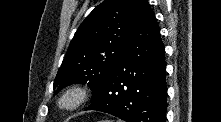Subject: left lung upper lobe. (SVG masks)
<instances>
[{"instance_id":"1","label":"left lung upper lobe","mask_w":221,"mask_h":122,"mask_svg":"<svg viewBox=\"0 0 221 122\" xmlns=\"http://www.w3.org/2000/svg\"><path fill=\"white\" fill-rule=\"evenodd\" d=\"M141 0H105L77 29L54 80L59 90L73 83L91 87L94 101L105 87L137 18Z\"/></svg>"}]
</instances>
